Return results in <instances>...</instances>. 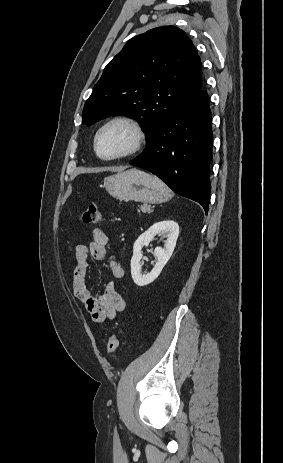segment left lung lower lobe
<instances>
[{
    "label": "left lung lower lobe",
    "mask_w": 283,
    "mask_h": 463,
    "mask_svg": "<svg viewBox=\"0 0 283 463\" xmlns=\"http://www.w3.org/2000/svg\"><path fill=\"white\" fill-rule=\"evenodd\" d=\"M212 115L202 88L155 130L144 152L130 162L158 176L173 191L208 212L211 185Z\"/></svg>",
    "instance_id": "1"
}]
</instances>
